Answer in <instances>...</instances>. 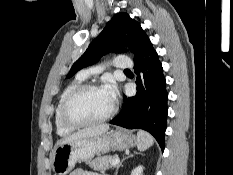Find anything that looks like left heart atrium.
<instances>
[{"label": "left heart atrium", "instance_id": "39dd6f15", "mask_svg": "<svg viewBox=\"0 0 233 175\" xmlns=\"http://www.w3.org/2000/svg\"><path fill=\"white\" fill-rule=\"evenodd\" d=\"M104 92L107 94L109 99L114 102L117 96V87L114 82L109 81L107 82L104 87L102 88Z\"/></svg>", "mask_w": 233, "mask_h": 175}]
</instances>
